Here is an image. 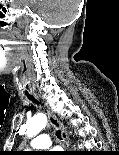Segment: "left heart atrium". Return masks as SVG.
Listing matches in <instances>:
<instances>
[{
    "label": "left heart atrium",
    "instance_id": "1",
    "mask_svg": "<svg viewBox=\"0 0 119 155\" xmlns=\"http://www.w3.org/2000/svg\"><path fill=\"white\" fill-rule=\"evenodd\" d=\"M49 155H60V154H58L57 151H54V152L50 153Z\"/></svg>",
    "mask_w": 119,
    "mask_h": 155
}]
</instances>
